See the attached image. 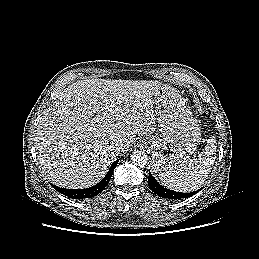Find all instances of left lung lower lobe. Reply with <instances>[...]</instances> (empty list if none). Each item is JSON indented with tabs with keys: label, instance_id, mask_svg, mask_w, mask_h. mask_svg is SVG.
Instances as JSON below:
<instances>
[{
	"label": "left lung lower lobe",
	"instance_id": "0a47b994",
	"mask_svg": "<svg viewBox=\"0 0 259 259\" xmlns=\"http://www.w3.org/2000/svg\"><path fill=\"white\" fill-rule=\"evenodd\" d=\"M148 185L155 194H157L158 196H160L162 198H167V199H181V198L190 197V196L198 193L201 190V189H199L197 191L190 192V193H182V192H176L173 190L166 189V188L162 187L155 180V178L152 176L151 173H149V176H148Z\"/></svg>",
	"mask_w": 259,
	"mask_h": 259
}]
</instances>
